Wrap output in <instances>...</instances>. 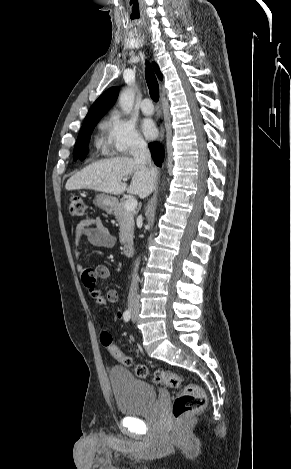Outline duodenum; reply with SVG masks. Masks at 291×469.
<instances>
[{
  "label": "duodenum",
  "instance_id": "410a0bca",
  "mask_svg": "<svg viewBox=\"0 0 291 469\" xmlns=\"http://www.w3.org/2000/svg\"><path fill=\"white\" fill-rule=\"evenodd\" d=\"M134 252V245L132 243H127L124 247V253L127 256H131Z\"/></svg>",
  "mask_w": 291,
  "mask_h": 469
}]
</instances>
